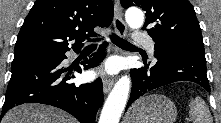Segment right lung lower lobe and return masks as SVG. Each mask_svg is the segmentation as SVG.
<instances>
[{
    "mask_svg": "<svg viewBox=\"0 0 221 123\" xmlns=\"http://www.w3.org/2000/svg\"><path fill=\"white\" fill-rule=\"evenodd\" d=\"M105 45L100 46L94 57L82 62L84 70L96 66L104 58ZM40 60L11 67L3 111L23 103H42L61 108L81 123H95L96 113L103 102L101 79L76 86L67 81L73 78L65 74L59 65L65 59ZM81 73V68L77 69ZM3 116V114H2Z\"/></svg>",
    "mask_w": 221,
    "mask_h": 123,
    "instance_id": "obj_1",
    "label": "right lung lower lobe"
}]
</instances>
